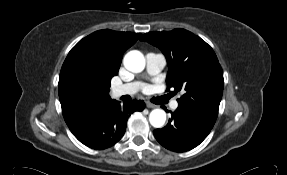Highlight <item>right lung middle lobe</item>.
Here are the masks:
<instances>
[{
	"instance_id": "1",
	"label": "right lung middle lobe",
	"mask_w": 287,
	"mask_h": 175,
	"mask_svg": "<svg viewBox=\"0 0 287 175\" xmlns=\"http://www.w3.org/2000/svg\"><path fill=\"white\" fill-rule=\"evenodd\" d=\"M100 96V88L85 65L74 72L67 91L69 105L74 110H83Z\"/></svg>"
}]
</instances>
